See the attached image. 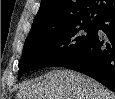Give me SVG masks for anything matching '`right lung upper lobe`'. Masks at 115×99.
Returning a JSON list of instances; mask_svg holds the SVG:
<instances>
[{"label": "right lung upper lobe", "mask_w": 115, "mask_h": 99, "mask_svg": "<svg viewBox=\"0 0 115 99\" xmlns=\"http://www.w3.org/2000/svg\"><path fill=\"white\" fill-rule=\"evenodd\" d=\"M114 12L115 0H42L28 37L78 23H100Z\"/></svg>", "instance_id": "cb5924a9"}]
</instances>
